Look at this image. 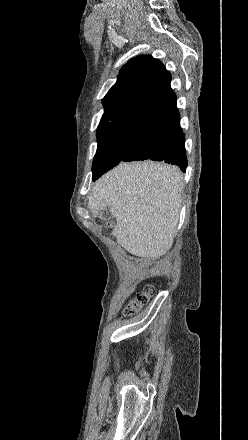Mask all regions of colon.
<instances>
[{"instance_id":"colon-1","label":"colon","mask_w":248,"mask_h":440,"mask_svg":"<svg viewBox=\"0 0 248 440\" xmlns=\"http://www.w3.org/2000/svg\"><path fill=\"white\" fill-rule=\"evenodd\" d=\"M151 294L152 288L150 286H147L128 303L125 308V314L127 316H132L139 312L148 303Z\"/></svg>"}]
</instances>
